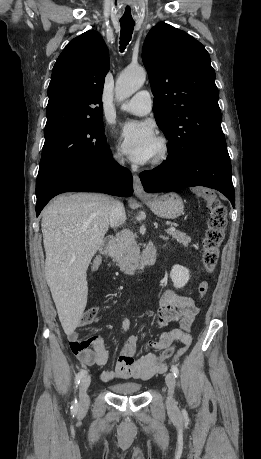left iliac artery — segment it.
Returning a JSON list of instances; mask_svg holds the SVG:
<instances>
[{
	"label": "left iliac artery",
	"instance_id": "obj_1",
	"mask_svg": "<svg viewBox=\"0 0 261 459\" xmlns=\"http://www.w3.org/2000/svg\"><path fill=\"white\" fill-rule=\"evenodd\" d=\"M171 371H172V373H173V375H174L175 377H177V376L179 375V370H178L177 366L172 365Z\"/></svg>",
	"mask_w": 261,
	"mask_h": 459
}]
</instances>
